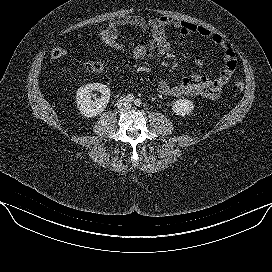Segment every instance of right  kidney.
<instances>
[{"label":"right kidney","instance_id":"1","mask_svg":"<svg viewBox=\"0 0 272 272\" xmlns=\"http://www.w3.org/2000/svg\"><path fill=\"white\" fill-rule=\"evenodd\" d=\"M101 93L99 98L91 99V92ZM110 89L101 83H90L78 89L76 94V103L80 113L87 117H94L104 111L110 100Z\"/></svg>","mask_w":272,"mask_h":272}]
</instances>
